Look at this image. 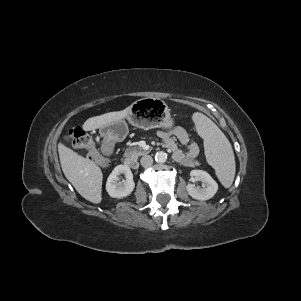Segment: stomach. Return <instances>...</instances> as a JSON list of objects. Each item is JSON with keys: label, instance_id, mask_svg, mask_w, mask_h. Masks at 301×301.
Instances as JSON below:
<instances>
[{"label": "stomach", "instance_id": "stomach-1", "mask_svg": "<svg viewBox=\"0 0 301 301\" xmlns=\"http://www.w3.org/2000/svg\"><path fill=\"white\" fill-rule=\"evenodd\" d=\"M128 121L135 127L144 130L151 128L170 129L174 125V120L170 115V110L166 104L157 98H142L129 107ZM105 140L113 142L122 140L128 133L127 124L122 120L100 129Z\"/></svg>", "mask_w": 301, "mask_h": 301}]
</instances>
